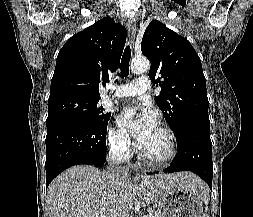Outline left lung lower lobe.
Returning a JSON list of instances; mask_svg holds the SVG:
<instances>
[{
  "label": "left lung lower lobe",
  "instance_id": "obj_1",
  "mask_svg": "<svg viewBox=\"0 0 253 217\" xmlns=\"http://www.w3.org/2000/svg\"><path fill=\"white\" fill-rule=\"evenodd\" d=\"M177 154L164 172L191 171L212 189L213 164L210 126L185 124L176 133Z\"/></svg>",
  "mask_w": 253,
  "mask_h": 217
}]
</instances>
